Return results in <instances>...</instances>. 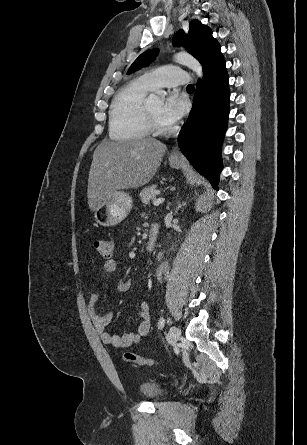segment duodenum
<instances>
[{
    "label": "duodenum",
    "mask_w": 307,
    "mask_h": 445,
    "mask_svg": "<svg viewBox=\"0 0 307 445\" xmlns=\"http://www.w3.org/2000/svg\"><path fill=\"white\" fill-rule=\"evenodd\" d=\"M157 238H158V228L154 226L146 242V251L151 252L154 250Z\"/></svg>",
    "instance_id": "duodenum-1"
}]
</instances>
